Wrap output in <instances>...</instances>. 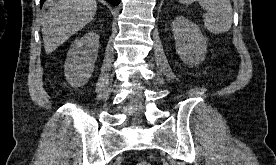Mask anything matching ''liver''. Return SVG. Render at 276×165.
Masks as SVG:
<instances>
[{
    "instance_id": "obj_1",
    "label": "liver",
    "mask_w": 276,
    "mask_h": 165,
    "mask_svg": "<svg viewBox=\"0 0 276 165\" xmlns=\"http://www.w3.org/2000/svg\"><path fill=\"white\" fill-rule=\"evenodd\" d=\"M42 35L47 54L55 51L70 36L95 16V0H48L44 4Z\"/></svg>"
}]
</instances>
